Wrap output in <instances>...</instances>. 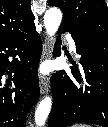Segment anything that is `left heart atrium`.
<instances>
[{
	"mask_svg": "<svg viewBox=\"0 0 108 127\" xmlns=\"http://www.w3.org/2000/svg\"><path fill=\"white\" fill-rule=\"evenodd\" d=\"M42 72H43V73L47 72V68H43V69H42Z\"/></svg>",
	"mask_w": 108,
	"mask_h": 127,
	"instance_id": "obj_1",
	"label": "left heart atrium"
}]
</instances>
